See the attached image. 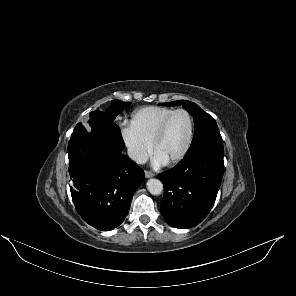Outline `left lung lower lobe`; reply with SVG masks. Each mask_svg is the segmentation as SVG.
<instances>
[{
  "label": "left lung lower lobe",
  "mask_w": 296,
  "mask_h": 296,
  "mask_svg": "<svg viewBox=\"0 0 296 296\" xmlns=\"http://www.w3.org/2000/svg\"><path fill=\"white\" fill-rule=\"evenodd\" d=\"M223 157V145L207 147L158 175L164 185L161 213L168 224L190 228L207 216L221 184Z\"/></svg>",
  "instance_id": "1"
}]
</instances>
